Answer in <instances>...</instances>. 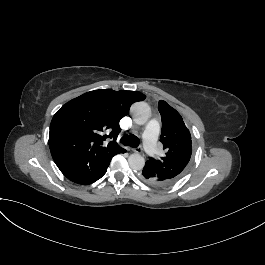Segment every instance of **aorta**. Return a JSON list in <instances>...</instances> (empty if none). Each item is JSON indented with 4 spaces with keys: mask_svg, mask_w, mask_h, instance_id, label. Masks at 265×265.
Masks as SVG:
<instances>
[{
    "mask_svg": "<svg viewBox=\"0 0 265 265\" xmlns=\"http://www.w3.org/2000/svg\"><path fill=\"white\" fill-rule=\"evenodd\" d=\"M131 114L134 121L141 125L150 118V108L144 102H137L131 106ZM128 163L133 170H142L145 166V159L139 153L131 154L128 158Z\"/></svg>",
    "mask_w": 265,
    "mask_h": 265,
    "instance_id": "obj_1",
    "label": "aorta"
}]
</instances>
